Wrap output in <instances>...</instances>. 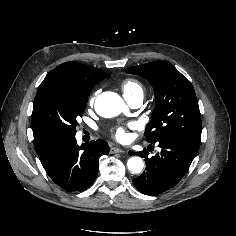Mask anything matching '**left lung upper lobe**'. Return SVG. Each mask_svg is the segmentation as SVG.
<instances>
[{"mask_svg": "<svg viewBox=\"0 0 236 236\" xmlns=\"http://www.w3.org/2000/svg\"><path fill=\"white\" fill-rule=\"evenodd\" d=\"M125 71L145 76L154 88L155 108L145 129L148 142L181 138L200 143L199 105L194 88L185 76L162 61L129 67Z\"/></svg>", "mask_w": 236, "mask_h": 236, "instance_id": "1", "label": "left lung upper lobe"}]
</instances>
